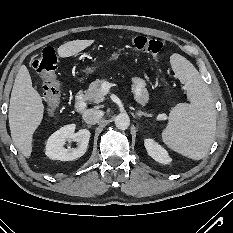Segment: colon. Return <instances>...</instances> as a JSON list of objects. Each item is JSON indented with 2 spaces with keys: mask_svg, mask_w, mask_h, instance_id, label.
Masks as SVG:
<instances>
[{
  "mask_svg": "<svg viewBox=\"0 0 233 233\" xmlns=\"http://www.w3.org/2000/svg\"><path fill=\"white\" fill-rule=\"evenodd\" d=\"M135 49L158 56L163 48V43L157 39L138 36L133 40ZM33 68L41 75L43 81V102L48 114H53L59 107L61 100L60 82L57 78L56 70L58 59L52 47H45L39 57L32 61Z\"/></svg>",
  "mask_w": 233,
  "mask_h": 233,
  "instance_id": "colon-1",
  "label": "colon"
}]
</instances>
